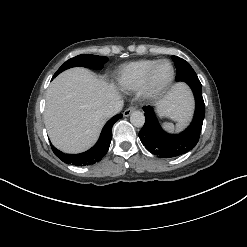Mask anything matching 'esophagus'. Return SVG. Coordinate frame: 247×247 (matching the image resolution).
Returning a JSON list of instances; mask_svg holds the SVG:
<instances>
[{
	"label": "esophagus",
	"mask_w": 247,
	"mask_h": 247,
	"mask_svg": "<svg viewBox=\"0 0 247 247\" xmlns=\"http://www.w3.org/2000/svg\"><path fill=\"white\" fill-rule=\"evenodd\" d=\"M134 110H135V107H134V106H131V107L127 108V109L124 111L123 115H124L125 117H127V116H129Z\"/></svg>",
	"instance_id": "34e87169"
}]
</instances>
